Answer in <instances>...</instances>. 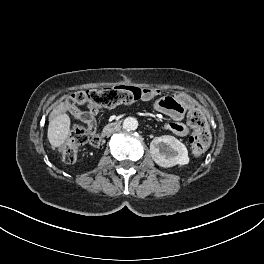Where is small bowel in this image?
Segmentation results:
<instances>
[{
    "label": "small bowel",
    "instance_id": "small-bowel-1",
    "mask_svg": "<svg viewBox=\"0 0 264 264\" xmlns=\"http://www.w3.org/2000/svg\"><path fill=\"white\" fill-rule=\"evenodd\" d=\"M161 94L158 89H145L143 99L146 101L154 100V108L161 115H167L171 118V122L166 124L165 128L178 136H186L189 134V128L182 122L185 111L192 105L191 99L184 93H176L173 96H163L157 98ZM69 113L76 119L87 124L91 134V145L99 146L100 138L96 132L95 117L99 113V108L89 107L88 111H82L72 106L68 107Z\"/></svg>",
    "mask_w": 264,
    "mask_h": 264
}]
</instances>
